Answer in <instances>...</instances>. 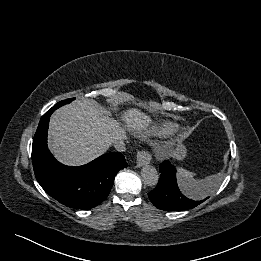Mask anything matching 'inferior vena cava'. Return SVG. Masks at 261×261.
Instances as JSON below:
<instances>
[{
    "label": "inferior vena cava",
    "mask_w": 261,
    "mask_h": 261,
    "mask_svg": "<svg viewBox=\"0 0 261 261\" xmlns=\"http://www.w3.org/2000/svg\"><path fill=\"white\" fill-rule=\"evenodd\" d=\"M126 144V137H119L113 141L115 149L119 152H124L126 150Z\"/></svg>",
    "instance_id": "1"
}]
</instances>
